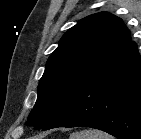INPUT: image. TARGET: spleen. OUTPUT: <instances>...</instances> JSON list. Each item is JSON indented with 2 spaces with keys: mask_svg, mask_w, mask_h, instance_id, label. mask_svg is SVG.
<instances>
[{
  "mask_svg": "<svg viewBox=\"0 0 141 139\" xmlns=\"http://www.w3.org/2000/svg\"><path fill=\"white\" fill-rule=\"evenodd\" d=\"M69 139H114L109 134L100 130H82L80 132H74L70 135Z\"/></svg>",
  "mask_w": 141,
  "mask_h": 139,
  "instance_id": "1",
  "label": "spleen"
}]
</instances>
